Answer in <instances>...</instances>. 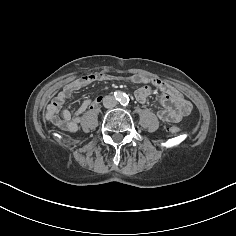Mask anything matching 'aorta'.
Masks as SVG:
<instances>
[{"label": "aorta", "mask_w": 236, "mask_h": 236, "mask_svg": "<svg viewBox=\"0 0 236 236\" xmlns=\"http://www.w3.org/2000/svg\"><path fill=\"white\" fill-rule=\"evenodd\" d=\"M119 101H120V103L124 104L128 101V98L125 97V96H122V97L119 98Z\"/></svg>", "instance_id": "1"}]
</instances>
